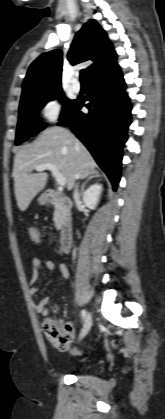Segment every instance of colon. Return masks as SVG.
<instances>
[{
	"mask_svg": "<svg viewBox=\"0 0 165 419\" xmlns=\"http://www.w3.org/2000/svg\"><path fill=\"white\" fill-rule=\"evenodd\" d=\"M28 234L33 242H39L41 239L40 232L35 227L29 228ZM41 330L45 337L55 345H64L72 339L70 326L57 320L45 319L41 324Z\"/></svg>",
	"mask_w": 165,
	"mask_h": 419,
	"instance_id": "5ec220e1",
	"label": "colon"
}]
</instances>
